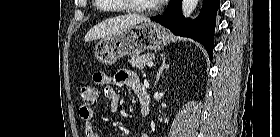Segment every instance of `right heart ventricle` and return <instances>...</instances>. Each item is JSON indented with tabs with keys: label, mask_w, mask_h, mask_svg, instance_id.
<instances>
[{
	"label": "right heart ventricle",
	"mask_w": 280,
	"mask_h": 137,
	"mask_svg": "<svg viewBox=\"0 0 280 137\" xmlns=\"http://www.w3.org/2000/svg\"><path fill=\"white\" fill-rule=\"evenodd\" d=\"M109 0H96V2H98V3H106V2H108ZM121 11H127V9L125 8V7H123V9L121 10Z\"/></svg>",
	"instance_id": "obj_1"
}]
</instances>
